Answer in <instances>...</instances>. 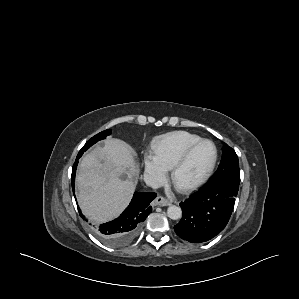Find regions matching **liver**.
I'll use <instances>...</instances> for the list:
<instances>
[{"label": "liver", "mask_w": 299, "mask_h": 299, "mask_svg": "<svg viewBox=\"0 0 299 299\" xmlns=\"http://www.w3.org/2000/svg\"><path fill=\"white\" fill-rule=\"evenodd\" d=\"M137 173L134 154L122 140L110 138L85 155L76 177L84 215L98 223L117 217L131 200Z\"/></svg>", "instance_id": "6515ba94"}]
</instances>
